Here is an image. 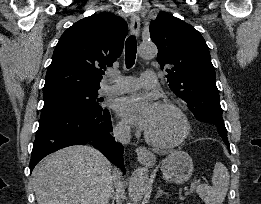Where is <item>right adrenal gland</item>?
Returning a JSON list of instances; mask_svg holds the SVG:
<instances>
[{
	"label": "right adrenal gland",
	"mask_w": 261,
	"mask_h": 204,
	"mask_svg": "<svg viewBox=\"0 0 261 204\" xmlns=\"http://www.w3.org/2000/svg\"><path fill=\"white\" fill-rule=\"evenodd\" d=\"M109 199L114 203V190L111 191Z\"/></svg>",
	"instance_id": "right-adrenal-gland-1"
}]
</instances>
